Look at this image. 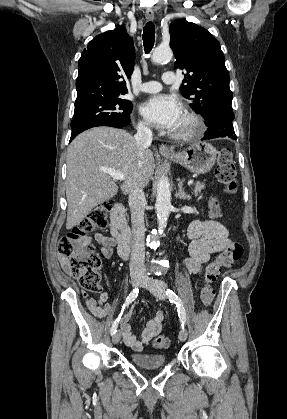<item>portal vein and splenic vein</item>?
I'll use <instances>...</instances> for the list:
<instances>
[{
    "label": "portal vein and splenic vein",
    "instance_id": "portal-vein-and-splenic-vein-1",
    "mask_svg": "<svg viewBox=\"0 0 287 419\" xmlns=\"http://www.w3.org/2000/svg\"><path fill=\"white\" fill-rule=\"evenodd\" d=\"M102 172L110 175L114 180H124V174L122 172L119 171H115V170H111V169H101ZM193 180H189L188 181V185H192L193 184Z\"/></svg>",
    "mask_w": 287,
    "mask_h": 419
}]
</instances>
